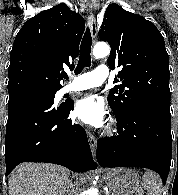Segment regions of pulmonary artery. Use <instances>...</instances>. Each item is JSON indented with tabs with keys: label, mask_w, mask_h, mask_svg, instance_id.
<instances>
[{
	"label": "pulmonary artery",
	"mask_w": 178,
	"mask_h": 195,
	"mask_svg": "<svg viewBox=\"0 0 178 195\" xmlns=\"http://www.w3.org/2000/svg\"><path fill=\"white\" fill-rule=\"evenodd\" d=\"M109 75V69L105 65L98 66L95 70L80 75H71V81L66 84L61 93H73L100 86Z\"/></svg>",
	"instance_id": "1"
}]
</instances>
